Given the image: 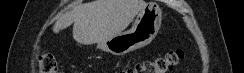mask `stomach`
Returning a JSON list of instances; mask_svg holds the SVG:
<instances>
[{
	"label": "stomach",
	"instance_id": "stomach-1",
	"mask_svg": "<svg viewBox=\"0 0 244 73\" xmlns=\"http://www.w3.org/2000/svg\"><path fill=\"white\" fill-rule=\"evenodd\" d=\"M162 22V11L158 4L150 2L138 13L128 31L101 41L97 47L113 55H125L150 44L156 37Z\"/></svg>",
	"mask_w": 244,
	"mask_h": 73
}]
</instances>
